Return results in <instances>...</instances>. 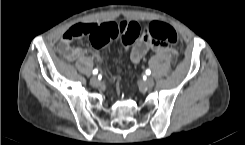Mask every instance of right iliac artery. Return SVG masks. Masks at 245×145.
<instances>
[{"mask_svg":"<svg viewBox=\"0 0 245 145\" xmlns=\"http://www.w3.org/2000/svg\"><path fill=\"white\" fill-rule=\"evenodd\" d=\"M98 73V70L97 69H94L93 70V74L96 75Z\"/></svg>","mask_w":245,"mask_h":145,"instance_id":"right-iliac-artery-1","label":"right iliac artery"}]
</instances>
